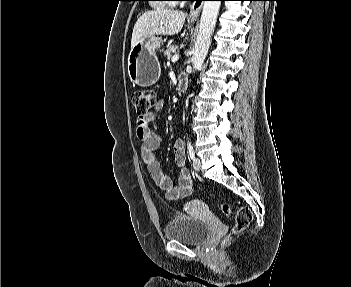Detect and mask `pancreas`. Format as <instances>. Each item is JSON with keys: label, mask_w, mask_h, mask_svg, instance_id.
<instances>
[{"label": "pancreas", "mask_w": 351, "mask_h": 287, "mask_svg": "<svg viewBox=\"0 0 351 287\" xmlns=\"http://www.w3.org/2000/svg\"><path fill=\"white\" fill-rule=\"evenodd\" d=\"M178 49L177 45H171L169 46L166 51H164V56L167 57L168 60L172 59V55L173 53L176 52V50Z\"/></svg>", "instance_id": "pancreas-1"}]
</instances>
